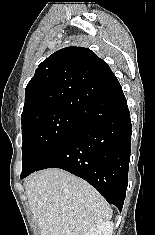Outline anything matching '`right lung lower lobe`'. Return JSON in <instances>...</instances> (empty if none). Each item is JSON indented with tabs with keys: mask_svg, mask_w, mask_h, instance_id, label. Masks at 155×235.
Returning a JSON list of instances; mask_svg holds the SVG:
<instances>
[{
	"mask_svg": "<svg viewBox=\"0 0 155 235\" xmlns=\"http://www.w3.org/2000/svg\"><path fill=\"white\" fill-rule=\"evenodd\" d=\"M89 115L40 166L21 174L56 167L94 186L108 203L123 207L130 161L131 120L127 101L117 79L85 91Z\"/></svg>",
	"mask_w": 155,
	"mask_h": 235,
	"instance_id": "1",
	"label": "right lung lower lobe"
}]
</instances>
